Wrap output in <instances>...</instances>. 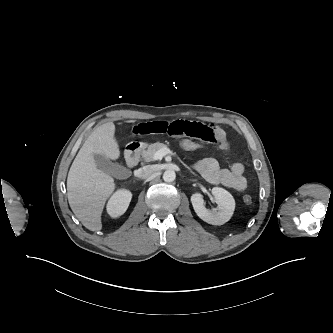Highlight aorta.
Segmentation results:
<instances>
[{
	"instance_id": "762f6f07",
	"label": "aorta",
	"mask_w": 333,
	"mask_h": 333,
	"mask_svg": "<svg viewBox=\"0 0 333 333\" xmlns=\"http://www.w3.org/2000/svg\"><path fill=\"white\" fill-rule=\"evenodd\" d=\"M176 178V173L172 169H168L163 173V180L165 182H173Z\"/></svg>"
}]
</instances>
